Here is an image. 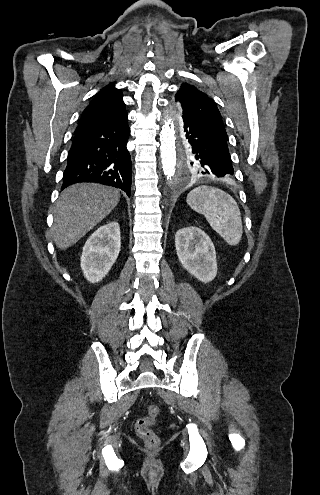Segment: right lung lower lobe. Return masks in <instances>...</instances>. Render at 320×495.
Segmentation results:
<instances>
[{"label": "right lung lower lobe", "instance_id": "right-lung-lower-lobe-1", "mask_svg": "<svg viewBox=\"0 0 320 495\" xmlns=\"http://www.w3.org/2000/svg\"><path fill=\"white\" fill-rule=\"evenodd\" d=\"M129 135L128 121L75 133L61 189L78 182H95L120 188L130 197Z\"/></svg>", "mask_w": 320, "mask_h": 495}]
</instances>
